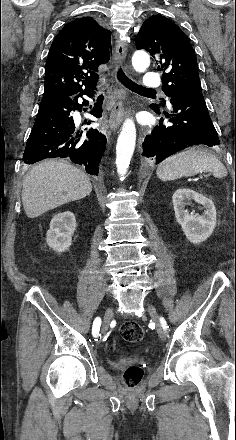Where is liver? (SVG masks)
I'll return each mask as SVG.
<instances>
[{
    "label": "liver",
    "instance_id": "1",
    "mask_svg": "<svg viewBox=\"0 0 236 440\" xmlns=\"http://www.w3.org/2000/svg\"><path fill=\"white\" fill-rule=\"evenodd\" d=\"M92 191L89 177L60 161L33 167L22 187V204L29 218H36L63 204L82 199Z\"/></svg>",
    "mask_w": 236,
    "mask_h": 440
}]
</instances>
